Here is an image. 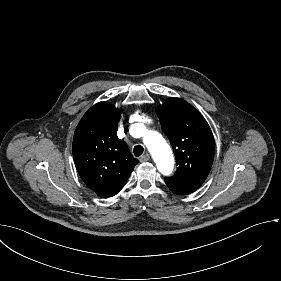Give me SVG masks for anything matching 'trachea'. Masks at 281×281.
<instances>
[{"label": "trachea", "mask_w": 281, "mask_h": 281, "mask_svg": "<svg viewBox=\"0 0 281 281\" xmlns=\"http://www.w3.org/2000/svg\"><path fill=\"white\" fill-rule=\"evenodd\" d=\"M144 148L141 145H136L133 149V153L136 157H139L143 154Z\"/></svg>", "instance_id": "1"}]
</instances>
